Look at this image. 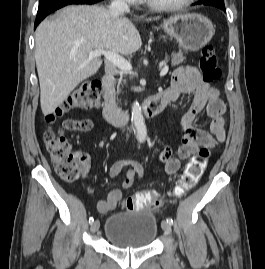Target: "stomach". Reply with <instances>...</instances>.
<instances>
[{"mask_svg": "<svg viewBox=\"0 0 265 269\" xmlns=\"http://www.w3.org/2000/svg\"><path fill=\"white\" fill-rule=\"evenodd\" d=\"M162 28L181 48L189 51L203 48L215 32L212 22L197 13L173 15L163 21Z\"/></svg>", "mask_w": 265, "mask_h": 269, "instance_id": "stomach-1", "label": "stomach"}]
</instances>
